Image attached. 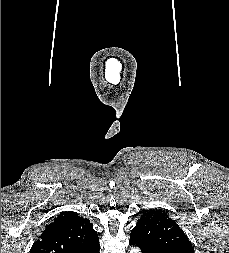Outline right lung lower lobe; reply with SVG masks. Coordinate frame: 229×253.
<instances>
[{
    "label": "right lung lower lobe",
    "instance_id": "right-lung-lower-lobe-1",
    "mask_svg": "<svg viewBox=\"0 0 229 253\" xmlns=\"http://www.w3.org/2000/svg\"><path fill=\"white\" fill-rule=\"evenodd\" d=\"M81 253H99V243H97L91 248L81 251Z\"/></svg>",
    "mask_w": 229,
    "mask_h": 253
}]
</instances>
